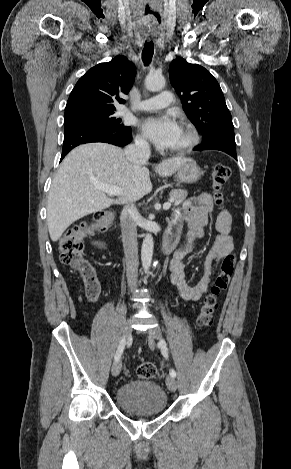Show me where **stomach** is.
<instances>
[{
  "label": "stomach",
  "mask_w": 291,
  "mask_h": 469,
  "mask_svg": "<svg viewBox=\"0 0 291 469\" xmlns=\"http://www.w3.org/2000/svg\"><path fill=\"white\" fill-rule=\"evenodd\" d=\"M203 171L194 161H190L181 166L177 171L175 177L179 182L194 183L197 182Z\"/></svg>",
  "instance_id": "1"
}]
</instances>
